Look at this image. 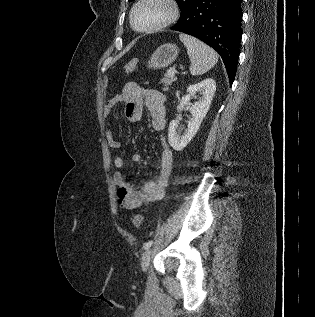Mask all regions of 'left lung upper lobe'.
<instances>
[{"mask_svg":"<svg viewBox=\"0 0 315 317\" xmlns=\"http://www.w3.org/2000/svg\"><path fill=\"white\" fill-rule=\"evenodd\" d=\"M129 1L131 2L133 0H129ZM176 1L181 8V16H180L181 18L193 0H176Z\"/></svg>","mask_w":315,"mask_h":317,"instance_id":"1","label":"left lung upper lobe"}]
</instances>
